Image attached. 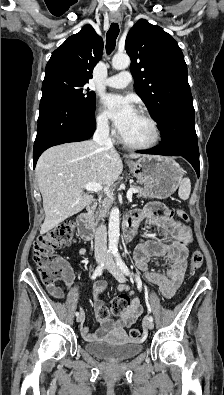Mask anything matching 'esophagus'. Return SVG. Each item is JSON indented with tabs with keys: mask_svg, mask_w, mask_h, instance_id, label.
<instances>
[{
	"mask_svg": "<svg viewBox=\"0 0 224 395\" xmlns=\"http://www.w3.org/2000/svg\"><path fill=\"white\" fill-rule=\"evenodd\" d=\"M114 22H119V20H114Z\"/></svg>",
	"mask_w": 224,
	"mask_h": 395,
	"instance_id": "1",
	"label": "esophagus"
}]
</instances>
